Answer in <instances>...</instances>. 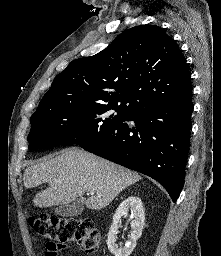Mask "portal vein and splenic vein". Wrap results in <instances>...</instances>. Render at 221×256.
<instances>
[{
	"mask_svg": "<svg viewBox=\"0 0 221 256\" xmlns=\"http://www.w3.org/2000/svg\"><path fill=\"white\" fill-rule=\"evenodd\" d=\"M95 192L94 191H91L90 194L93 195Z\"/></svg>",
	"mask_w": 221,
	"mask_h": 256,
	"instance_id": "portal-vein-and-splenic-vein-1",
	"label": "portal vein and splenic vein"
}]
</instances>
